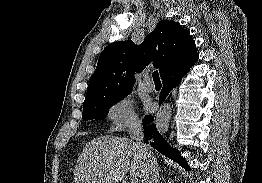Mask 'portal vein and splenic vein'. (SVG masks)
<instances>
[{
    "label": "portal vein and splenic vein",
    "mask_w": 262,
    "mask_h": 183,
    "mask_svg": "<svg viewBox=\"0 0 262 183\" xmlns=\"http://www.w3.org/2000/svg\"><path fill=\"white\" fill-rule=\"evenodd\" d=\"M131 183H138V178H136V177H132V179H131Z\"/></svg>",
    "instance_id": "portal-vein-and-splenic-vein-1"
}]
</instances>
